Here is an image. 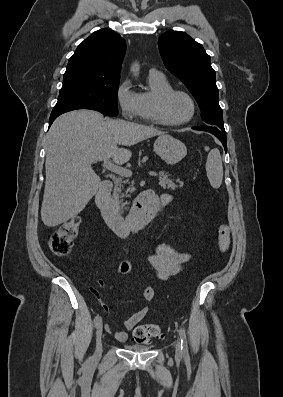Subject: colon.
<instances>
[{
    "instance_id": "colon-1",
    "label": "colon",
    "mask_w": 283,
    "mask_h": 397,
    "mask_svg": "<svg viewBox=\"0 0 283 397\" xmlns=\"http://www.w3.org/2000/svg\"><path fill=\"white\" fill-rule=\"evenodd\" d=\"M80 218L75 216L63 223L51 236L49 248L56 256L67 255L79 234ZM218 243L222 253H226L230 245V227L222 223L218 230ZM158 326L144 324L137 326L133 331V340L138 344L149 343L153 339L162 338Z\"/></svg>"
}]
</instances>
